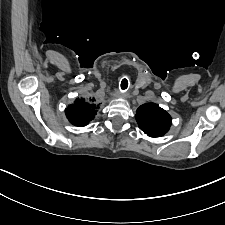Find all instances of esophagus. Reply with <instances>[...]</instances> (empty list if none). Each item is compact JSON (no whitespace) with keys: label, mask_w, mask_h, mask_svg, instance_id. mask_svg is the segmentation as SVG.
Listing matches in <instances>:
<instances>
[{"label":"esophagus","mask_w":225,"mask_h":225,"mask_svg":"<svg viewBox=\"0 0 225 225\" xmlns=\"http://www.w3.org/2000/svg\"><path fill=\"white\" fill-rule=\"evenodd\" d=\"M124 97H126V94H122Z\"/></svg>","instance_id":"1"}]
</instances>
